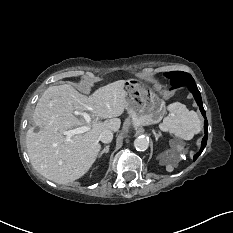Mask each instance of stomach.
Returning <instances> with one entry per match:
<instances>
[{
    "label": "stomach",
    "mask_w": 233,
    "mask_h": 233,
    "mask_svg": "<svg viewBox=\"0 0 233 233\" xmlns=\"http://www.w3.org/2000/svg\"><path fill=\"white\" fill-rule=\"evenodd\" d=\"M126 110L134 125L158 123L166 112L165 101L161 94L140 79L124 81Z\"/></svg>",
    "instance_id": "0dacf381"
}]
</instances>
